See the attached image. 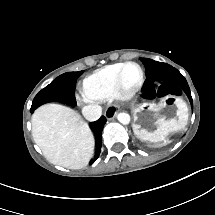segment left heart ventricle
<instances>
[{
	"instance_id": "b2bd125f",
	"label": "left heart ventricle",
	"mask_w": 215,
	"mask_h": 215,
	"mask_svg": "<svg viewBox=\"0 0 215 215\" xmlns=\"http://www.w3.org/2000/svg\"><path fill=\"white\" fill-rule=\"evenodd\" d=\"M122 70L124 76H121L119 78L120 79L119 87L121 89H128L129 87L131 88L138 78L137 69L133 66H126L122 68Z\"/></svg>"
}]
</instances>
